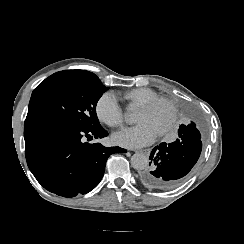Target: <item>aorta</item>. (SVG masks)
Here are the masks:
<instances>
[{"mask_svg": "<svg viewBox=\"0 0 244 244\" xmlns=\"http://www.w3.org/2000/svg\"><path fill=\"white\" fill-rule=\"evenodd\" d=\"M128 120L131 119L130 112L126 115ZM149 164L148 157L143 153H136L131 157V165L137 170H144Z\"/></svg>", "mask_w": 244, "mask_h": 244, "instance_id": "1", "label": "aorta"}]
</instances>
